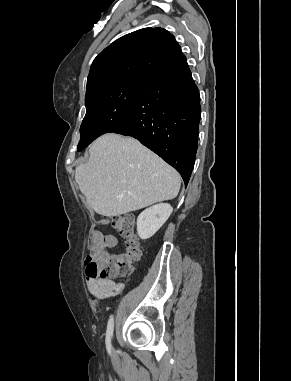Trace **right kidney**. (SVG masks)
<instances>
[{"label": "right kidney", "mask_w": 291, "mask_h": 381, "mask_svg": "<svg viewBox=\"0 0 291 381\" xmlns=\"http://www.w3.org/2000/svg\"><path fill=\"white\" fill-rule=\"evenodd\" d=\"M173 208L167 203L144 210L137 218V233L143 240L152 237L170 217Z\"/></svg>", "instance_id": "obj_1"}]
</instances>
